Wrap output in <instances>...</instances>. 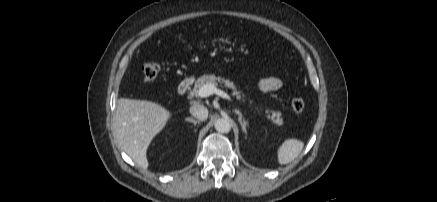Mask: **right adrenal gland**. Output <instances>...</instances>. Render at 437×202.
<instances>
[{
	"label": "right adrenal gland",
	"instance_id": "obj_1",
	"mask_svg": "<svg viewBox=\"0 0 437 202\" xmlns=\"http://www.w3.org/2000/svg\"><path fill=\"white\" fill-rule=\"evenodd\" d=\"M185 121L190 122V123H193L194 126H195L197 123H198V124L200 123L199 121H197V120H195V119H193V118H186Z\"/></svg>",
	"mask_w": 437,
	"mask_h": 202
}]
</instances>
